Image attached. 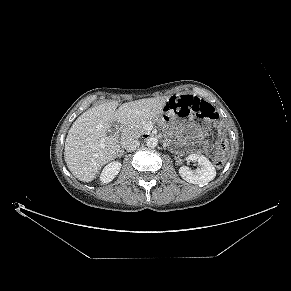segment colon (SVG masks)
Returning a JSON list of instances; mask_svg holds the SVG:
<instances>
[{"instance_id":"5ec220e1","label":"colon","mask_w":291,"mask_h":291,"mask_svg":"<svg viewBox=\"0 0 291 291\" xmlns=\"http://www.w3.org/2000/svg\"><path fill=\"white\" fill-rule=\"evenodd\" d=\"M166 110L180 117L198 116L208 121H217L219 115L210 103L197 97L174 96L165 106ZM228 143L224 139L216 142V156L214 164L222 167L225 164Z\"/></svg>"}]
</instances>
